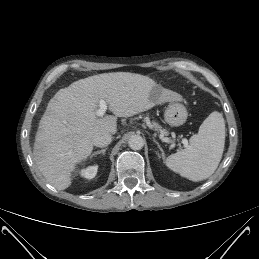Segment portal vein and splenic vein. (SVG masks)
Masks as SVG:
<instances>
[{
    "label": "portal vein and splenic vein",
    "mask_w": 259,
    "mask_h": 259,
    "mask_svg": "<svg viewBox=\"0 0 259 259\" xmlns=\"http://www.w3.org/2000/svg\"><path fill=\"white\" fill-rule=\"evenodd\" d=\"M107 110V103L104 100L99 101V108L96 111V115L98 117H102ZM182 143L185 147H188V141L187 139H182Z\"/></svg>",
    "instance_id": "portal-vein-and-splenic-vein-1"
}]
</instances>
